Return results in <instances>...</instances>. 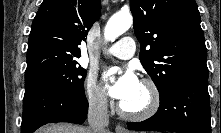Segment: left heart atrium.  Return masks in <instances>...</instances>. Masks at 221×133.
Listing matches in <instances>:
<instances>
[{
    "mask_svg": "<svg viewBox=\"0 0 221 133\" xmlns=\"http://www.w3.org/2000/svg\"><path fill=\"white\" fill-rule=\"evenodd\" d=\"M103 79L109 94L121 103L132 98L141 84L131 68L122 72L116 67L110 68L104 72Z\"/></svg>",
    "mask_w": 221,
    "mask_h": 133,
    "instance_id": "1",
    "label": "left heart atrium"
}]
</instances>
